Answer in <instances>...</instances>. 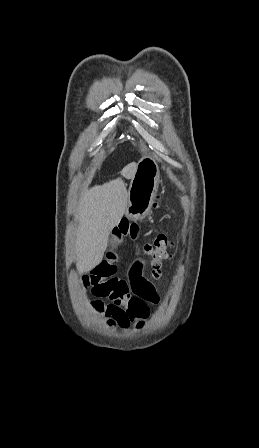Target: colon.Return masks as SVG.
<instances>
[{
	"instance_id": "5ec220e1",
	"label": "colon",
	"mask_w": 259,
	"mask_h": 448,
	"mask_svg": "<svg viewBox=\"0 0 259 448\" xmlns=\"http://www.w3.org/2000/svg\"><path fill=\"white\" fill-rule=\"evenodd\" d=\"M172 247L173 243L164 235L157 236L145 246L147 263L155 279L161 275L162 262L171 257Z\"/></svg>"
}]
</instances>
